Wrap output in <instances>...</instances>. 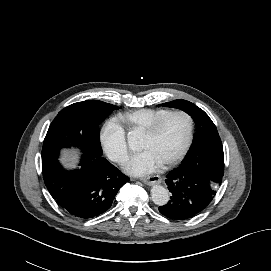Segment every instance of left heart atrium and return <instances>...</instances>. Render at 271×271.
<instances>
[{"mask_svg":"<svg viewBox=\"0 0 271 271\" xmlns=\"http://www.w3.org/2000/svg\"><path fill=\"white\" fill-rule=\"evenodd\" d=\"M159 166L160 162L154 155L147 150H143L133 156L127 165V170L133 175L140 176L156 171Z\"/></svg>","mask_w":271,"mask_h":271,"instance_id":"left-heart-atrium-1","label":"left heart atrium"}]
</instances>
